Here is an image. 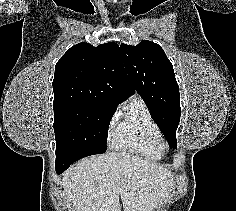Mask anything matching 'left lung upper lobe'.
<instances>
[{
	"label": "left lung upper lobe",
	"instance_id": "5c2ea615",
	"mask_svg": "<svg viewBox=\"0 0 236 211\" xmlns=\"http://www.w3.org/2000/svg\"><path fill=\"white\" fill-rule=\"evenodd\" d=\"M120 48L131 87L145 101L169 146L176 148L181 107L172 63L158 44L148 40Z\"/></svg>",
	"mask_w": 236,
	"mask_h": 211
}]
</instances>
